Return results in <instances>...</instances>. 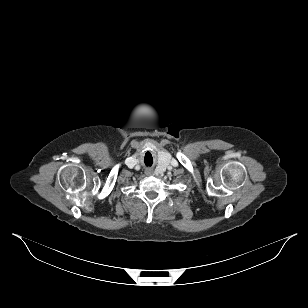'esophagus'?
<instances>
[{
  "mask_svg": "<svg viewBox=\"0 0 308 308\" xmlns=\"http://www.w3.org/2000/svg\"><path fill=\"white\" fill-rule=\"evenodd\" d=\"M145 173H146L147 175H150V174L152 173V171H151L150 169H147V170L145 171Z\"/></svg>",
  "mask_w": 308,
  "mask_h": 308,
  "instance_id": "esophagus-1",
  "label": "esophagus"
}]
</instances>
